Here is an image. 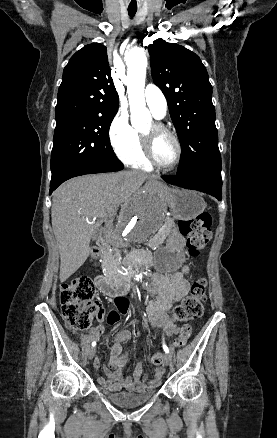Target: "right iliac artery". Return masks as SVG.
<instances>
[{"mask_svg": "<svg viewBox=\"0 0 277 438\" xmlns=\"http://www.w3.org/2000/svg\"><path fill=\"white\" fill-rule=\"evenodd\" d=\"M95 345H96V342H95V341H93V342H92V346H95Z\"/></svg>", "mask_w": 277, "mask_h": 438, "instance_id": "82829eb1", "label": "right iliac artery"}]
</instances>
